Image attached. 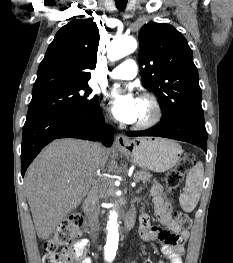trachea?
I'll return each mask as SVG.
<instances>
[{"mask_svg": "<svg viewBox=\"0 0 233 263\" xmlns=\"http://www.w3.org/2000/svg\"><path fill=\"white\" fill-rule=\"evenodd\" d=\"M115 2L119 11H123L126 8L127 0H115Z\"/></svg>", "mask_w": 233, "mask_h": 263, "instance_id": "obj_1", "label": "trachea"}]
</instances>
